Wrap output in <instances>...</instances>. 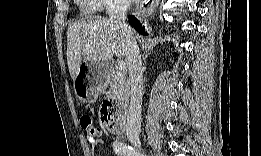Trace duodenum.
Instances as JSON below:
<instances>
[{
  "mask_svg": "<svg viewBox=\"0 0 261 156\" xmlns=\"http://www.w3.org/2000/svg\"><path fill=\"white\" fill-rule=\"evenodd\" d=\"M106 102L110 103L112 106L121 108L122 111L126 110V102L122 101V100H120L118 98L109 97V98L106 99ZM128 126H129V124L127 123V127Z\"/></svg>",
  "mask_w": 261,
  "mask_h": 156,
  "instance_id": "duodenum-1",
  "label": "duodenum"
}]
</instances>
